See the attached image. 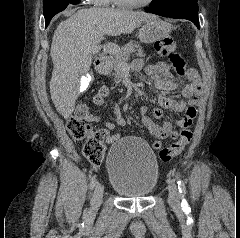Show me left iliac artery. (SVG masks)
<instances>
[{
    "mask_svg": "<svg viewBox=\"0 0 240 238\" xmlns=\"http://www.w3.org/2000/svg\"><path fill=\"white\" fill-rule=\"evenodd\" d=\"M177 184H178V189H179V192L181 195H185L186 193V187H185V184L184 182L178 178V181H177ZM181 206L184 208V210H189V207L186 200H182V203H181Z\"/></svg>",
    "mask_w": 240,
    "mask_h": 238,
    "instance_id": "1",
    "label": "left iliac artery"
}]
</instances>
